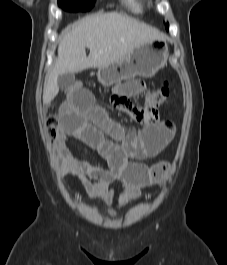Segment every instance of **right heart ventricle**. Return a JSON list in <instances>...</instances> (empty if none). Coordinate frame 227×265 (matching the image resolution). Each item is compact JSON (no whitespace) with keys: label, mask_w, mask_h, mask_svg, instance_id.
Instances as JSON below:
<instances>
[{"label":"right heart ventricle","mask_w":227,"mask_h":265,"mask_svg":"<svg viewBox=\"0 0 227 265\" xmlns=\"http://www.w3.org/2000/svg\"><path fill=\"white\" fill-rule=\"evenodd\" d=\"M122 2L133 13H140L144 7L142 0H122Z\"/></svg>","instance_id":"right-heart-ventricle-1"}]
</instances>
